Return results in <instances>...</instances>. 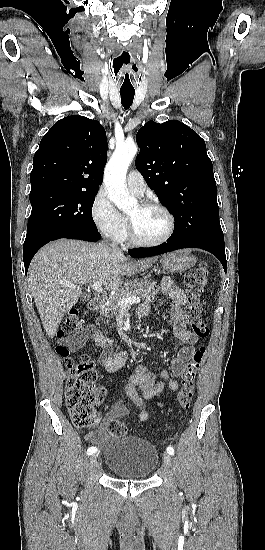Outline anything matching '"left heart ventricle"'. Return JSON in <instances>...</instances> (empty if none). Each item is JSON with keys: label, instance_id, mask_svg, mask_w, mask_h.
Here are the masks:
<instances>
[{"label": "left heart ventricle", "instance_id": "left-heart-ventricle-1", "mask_svg": "<svg viewBox=\"0 0 265 550\" xmlns=\"http://www.w3.org/2000/svg\"><path fill=\"white\" fill-rule=\"evenodd\" d=\"M128 216L134 223L137 236L142 240L160 239L167 231L168 220L160 210L142 209L137 204Z\"/></svg>", "mask_w": 265, "mask_h": 550}]
</instances>
